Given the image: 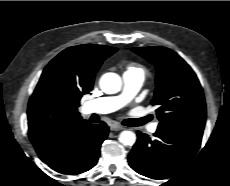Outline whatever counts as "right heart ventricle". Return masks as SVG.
I'll use <instances>...</instances> for the list:
<instances>
[{"mask_svg":"<svg viewBox=\"0 0 230 186\" xmlns=\"http://www.w3.org/2000/svg\"><path fill=\"white\" fill-rule=\"evenodd\" d=\"M127 71L142 72L143 74L145 73V69L136 63L129 64Z\"/></svg>","mask_w":230,"mask_h":186,"instance_id":"obj_1","label":"right heart ventricle"}]
</instances>
